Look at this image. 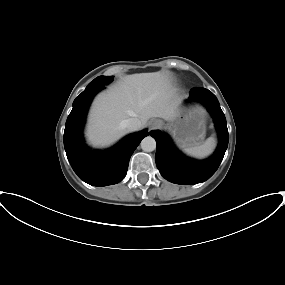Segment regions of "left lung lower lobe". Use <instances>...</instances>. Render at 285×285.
Listing matches in <instances>:
<instances>
[{
    "instance_id": "left-lung-lower-lobe-1",
    "label": "left lung lower lobe",
    "mask_w": 285,
    "mask_h": 285,
    "mask_svg": "<svg viewBox=\"0 0 285 285\" xmlns=\"http://www.w3.org/2000/svg\"><path fill=\"white\" fill-rule=\"evenodd\" d=\"M200 100L214 118L219 134V145L212 157L203 161L190 159L179 152L168 135L161 131H151L156 140V165L161 175L176 184H197L209 179L218 169L228 146L227 122L216 96L204 88H193L189 99Z\"/></svg>"
}]
</instances>
